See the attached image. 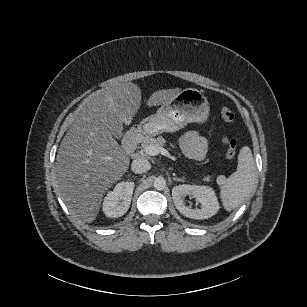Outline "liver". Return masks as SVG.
<instances>
[{
	"mask_svg": "<svg viewBox=\"0 0 307 307\" xmlns=\"http://www.w3.org/2000/svg\"><path fill=\"white\" fill-rule=\"evenodd\" d=\"M180 88L155 91L149 107L169 103ZM141 106V89L133 82L95 91L86 98L60 144L55 176L62 200L84 222L97 217L104 193L120 180L129 157L113 138L131 124Z\"/></svg>",
	"mask_w": 307,
	"mask_h": 307,
	"instance_id": "obj_1",
	"label": "liver"
}]
</instances>
